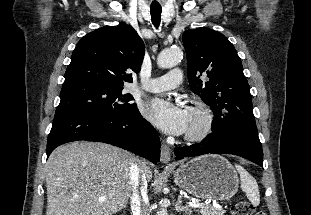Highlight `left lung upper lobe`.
I'll list each match as a JSON object with an SVG mask.
<instances>
[{"instance_id": "obj_1", "label": "left lung upper lobe", "mask_w": 311, "mask_h": 215, "mask_svg": "<svg viewBox=\"0 0 311 215\" xmlns=\"http://www.w3.org/2000/svg\"><path fill=\"white\" fill-rule=\"evenodd\" d=\"M191 91L210 106L212 131L238 122L255 123L249 84L242 62L220 32L201 27L183 34Z\"/></svg>"}]
</instances>
